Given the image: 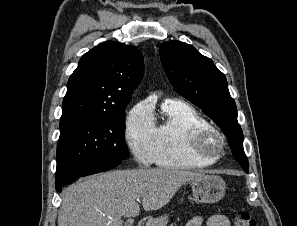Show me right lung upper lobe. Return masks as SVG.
<instances>
[{"mask_svg": "<svg viewBox=\"0 0 297 226\" xmlns=\"http://www.w3.org/2000/svg\"><path fill=\"white\" fill-rule=\"evenodd\" d=\"M143 67L141 52L130 45L109 41L94 47L81 57L68 80L60 120L123 114Z\"/></svg>", "mask_w": 297, "mask_h": 226, "instance_id": "right-lung-upper-lobe-1", "label": "right lung upper lobe"}]
</instances>
